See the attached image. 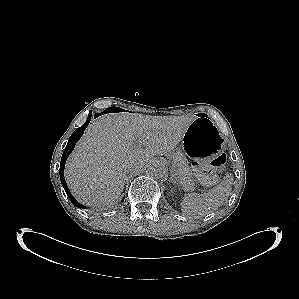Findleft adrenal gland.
<instances>
[{"mask_svg":"<svg viewBox=\"0 0 299 299\" xmlns=\"http://www.w3.org/2000/svg\"><path fill=\"white\" fill-rule=\"evenodd\" d=\"M172 172H173V171H172ZM175 178H176V176L174 175V172L171 173L170 180H171L172 183H175Z\"/></svg>","mask_w":299,"mask_h":299,"instance_id":"left-adrenal-gland-1","label":"left adrenal gland"}]
</instances>
